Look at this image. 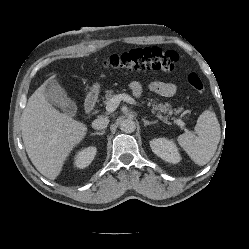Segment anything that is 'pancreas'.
I'll return each mask as SVG.
<instances>
[{"label": "pancreas", "instance_id": "cf45deb5", "mask_svg": "<svg viewBox=\"0 0 249 249\" xmlns=\"http://www.w3.org/2000/svg\"><path fill=\"white\" fill-rule=\"evenodd\" d=\"M114 96V92L112 90L105 91V95L103 96L104 103L107 102ZM158 99H152V108L153 111L157 113V117L165 122L168 120V115L172 114V108L169 103H157ZM182 109L179 108L178 111Z\"/></svg>", "mask_w": 249, "mask_h": 249}]
</instances>
